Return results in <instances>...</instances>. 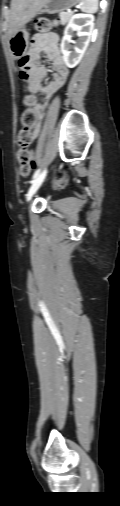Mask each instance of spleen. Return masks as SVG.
<instances>
[{"label": "spleen", "mask_w": 120, "mask_h": 506, "mask_svg": "<svg viewBox=\"0 0 120 506\" xmlns=\"http://www.w3.org/2000/svg\"><path fill=\"white\" fill-rule=\"evenodd\" d=\"M81 10L87 13H96L98 10V0H80Z\"/></svg>", "instance_id": "spleen-1"}]
</instances>
